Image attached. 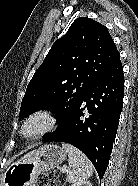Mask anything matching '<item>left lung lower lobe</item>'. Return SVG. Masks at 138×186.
Listing matches in <instances>:
<instances>
[{"label":"left lung lower lobe","mask_w":138,"mask_h":186,"mask_svg":"<svg viewBox=\"0 0 138 186\" xmlns=\"http://www.w3.org/2000/svg\"><path fill=\"white\" fill-rule=\"evenodd\" d=\"M124 76L119 60L90 88L67 121L43 142H65L81 150L102 178L123 107Z\"/></svg>","instance_id":"1"}]
</instances>
